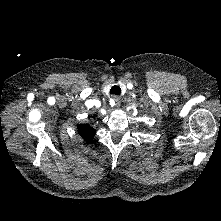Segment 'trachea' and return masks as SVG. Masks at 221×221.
Masks as SVG:
<instances>
[{"label": "trachea", "instance_id": "trachea-1", "mask_svg": "<svg viewBox=\"0 0 221 221\" xmlns=\"http://www.w3.org/2000/svg\"><path fill=\"white\" fill-rule=\"evenodd\" d=\"M120 93H121V88H120V86L114 85V86L111 87V89H110V94L120 95Z\"/></svg>", "mask_w": 221, "mask_h": 221}]
</instances>
